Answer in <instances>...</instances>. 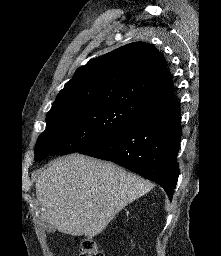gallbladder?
Instances as JSON below:
<instances>
[{
	"mask_svg": "<svg viewBox=\"0 0 221 256\" xmlns=\"http://www.w3.org/2000/svg\"><path fill=\"white\" fill-rule=\"evenodd\" d=\"M43 222H44V225H45L46 229H47L49 232L55 231V227H54L53 225H51L50 223H48L46 220H44Z\"/></svg>",
	"mask_w": 221,
	"mask_h": 256,
	"instance_id": "1",
	"label": "gallbladder"
}]
</instances>
